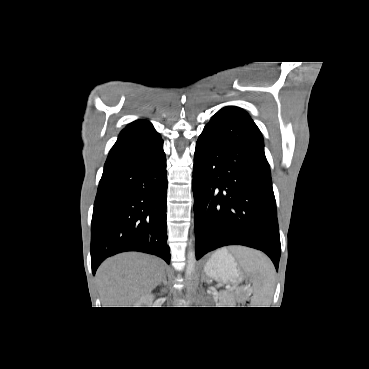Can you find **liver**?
Returning a JSON list of instances; mask_svg holds the SVG:
<instances>
[{
	"label": "liver",
	"instance_id": "liver-1",
	"mask_svg": "<svg viewBox=\"0 0 369 369\" xmlns=\"http://www.w3.org/2000/svg\"><path fill=\"white\" fill-rule=\"evenodd\" d=\"M164 262L159 258L127 252L105 260L97 271L103 307H127L150 293L161 281Z\"/></svg>",
	"mask_w": 369,
	"mask_h": 369
}]
</instances>
